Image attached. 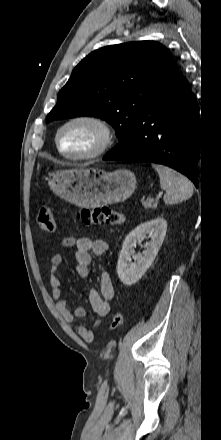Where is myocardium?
<instances>
[{
  "label": "myocardium",
  "instance_id": "obj_1",
  "mask_svg": "<svg viewBox=\"0 0 221 440\" xmlns=\"http://www.w3.org/2000/svg\"><path fill=\"white\" fill-rule=\"evenodd\" d=\"M76 123H84L95 127L99 134L100 140L98 145L90 152L84 154H68L64 152L60 146V136L62 132L69 126ZM114 140V133L111 125L102 117L93 114H80L66 120L59 126L55 134V145L59 154L70 161H86L100 157L105 154L111 147Z\"/></svg>",
  "mask_w": 221,
  "mask_h": 440
}]
</instances>
